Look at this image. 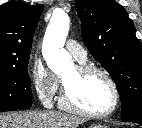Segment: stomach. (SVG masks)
I'll return each instance as SVG.
<instances>
[{"label": "stomach", "mask_w": 142, "mask_h": 128, "mask_svg": "<svg viewBox=\"0 0 142 128\" xmlns=\"http://www.w3.org/2000/svg\"><path fill=\"white\" fill-rule=\"evenodd\" d=\"M89 128H107L105 125L93 124Z\"/></svg>", "instance_id": "1"}]
</instances>
